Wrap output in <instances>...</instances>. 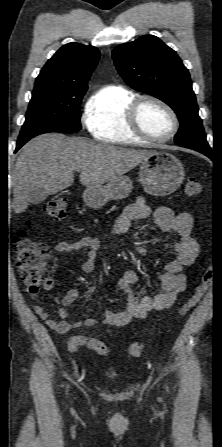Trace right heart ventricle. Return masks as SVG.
<instances>
[{"label": "right heart ventricle", "instance_id": "right-heart-ventricle-1", "mask_svg": "<svg viewBox=\"0 0 222 447\" xmlns=\"http://www.w3.org/2000/svg\"><path fill=\"white\" fill-rule=\"evenodd\" d=\"M136 95L117 86L106 87L87 109L85 124L92 137L108 144L133 145L146 143L130 127L127 111Z\"/></svg>", "mask_w": 222, "mask_h": 447}]
</instances>
